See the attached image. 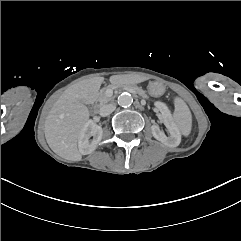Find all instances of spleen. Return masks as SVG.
Returning a JSON list of instances; mask_svg holds the SVG:
<instances>
[{
	"label": "spleen",
	"mask_w": 241,
	"mask_h": 241,
	"mask_svg": "<svg viewBox=\"0 0 241 241\" xmlns=\"http://www.w3.org/2000/svg\"><path fill=\"white\" fill-rule=\"evenodd\" d=\"M170 101L174 105L172 114L174 125L183 137L188 138L193 124L191 110L187 103L177 94L172 95Z\"/></svg>",
	"instance_id": "obj_1"
}]
</instances>
